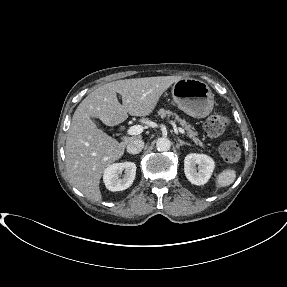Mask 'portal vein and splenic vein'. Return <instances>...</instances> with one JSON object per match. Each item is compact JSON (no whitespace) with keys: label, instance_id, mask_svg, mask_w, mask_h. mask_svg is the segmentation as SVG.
Masks as SVG:
<instances>
[{"label":"portal vein and splenic vein","instance_id":"18ae733b","mask_svg":"<svg viewBox=\"0 0 287 287\" xmlns=\"http://www.w3.org/2000/svg\"><path fill=\"white\" fill-rule=\"evenodd\" d=\"M143 129L144 127L141 126V125H134V126H131L128 130H127V134L128 135H139L143 132ZM181 134H185V131L184 129L178 127L176 128Z\"/></svg>","mask_w":287,"mask_h":287}]
</instances>
